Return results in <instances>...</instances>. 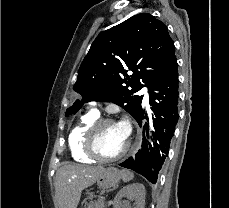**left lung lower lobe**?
Segmentation results:
<instances>
[{
    "label": "left lung lower lobe",
    "mask_w": 229,
    "mask_h": 208,
    "mask_svg": "<svg viewBox=\"0 0 229 208\" xmlns=\"http://www.w3.org/2000/svg\"><path fill=\"white\" fill-rule=\"evenodd\" d=\"M178 71H176L161 85L149 89V104L151 105L153 128L151 143H148L144 133L149 137V124L143 127V149L136 154L135 160L127 159L120 164L143 175L151 183H156L166 157L170 141L173 137L176 123L178 122ZM135 120L142 126V119H146L145 111L140 110L134 116Z\"/></svg>",
    "instance_id": "1"
}]
</instances>
